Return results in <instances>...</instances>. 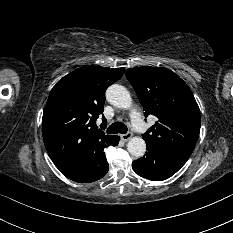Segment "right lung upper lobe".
<instances>
[{"label": "right lung upper lobe", "mask_w": 233, "mask_h": 233, "mask_svg": "<svg viewBox=\"0 0 233 233\" xmlns=\"http://www.w3.org/2000/svg\"><path fill=\"white\" fill-rule=\"evenodd\" d=\"M124 68L83 67L59 80L51 90L42 118L45 147L55 165L93 156L116 136L96 130L105 91ZM103 119H105L103 117Z\"/></svg>", "instance_id": "cb5924a9"}]
</instances>
